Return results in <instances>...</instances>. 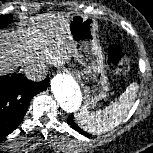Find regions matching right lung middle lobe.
Segmentation results:
<instances>
[{
  "label": "right lung middle lobe",
  "mask_w": 153,
  "mask_h": 153,
  "mask_svg": "<svg viewBox=\"0 0 153 153\" xmlns=\"http://www.w3.org/2000/svg\"><path fill=\"white\" fill-rule=\"evenodd\" d=\"M12 15H0V29L8 25L12 20Z\"/></svg>",
  "instance_id": "1"
}]
</instances>
